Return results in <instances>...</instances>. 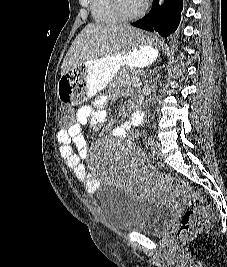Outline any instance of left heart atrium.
<instances>
[{
    "label": "left heart atrium",
    "instance_id": "left-heart-atrium-1",
    "mask_svg": "<svg viewBox=\"0 0 227 267\" xmlns=\"http://www.w3.org/2000/svg\"><path fill=\"white\" fill-rule=\"evenodd\" d=\"M141 6H144L147 0H137Z\"/></svg>",
    "mask_w": 227,
    "mask_h": 267
}]
</instances>
